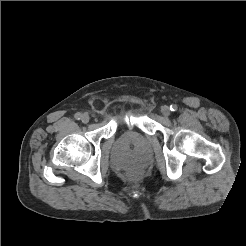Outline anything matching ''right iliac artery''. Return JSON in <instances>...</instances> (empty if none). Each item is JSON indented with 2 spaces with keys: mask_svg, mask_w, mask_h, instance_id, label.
Listing matches in <instances>:
<instances>
[{
  "mask_svg": "<svg viewBox=\"0 0 246 246\" xmlns=\"http://www.w3.org/2000/svg\"><path fill=\"white\" fill-rule=\"evenodd\" d=\"M81 117H82V114H81V113H76V114H75V118H76L77 120H80Z\"/></svg>",
  "mask_w": 246,
  "mask_h": 246,
  "instance_id": "right-iliac-artery-1",
  "label": "right iliac artery"
}]
</instances>
